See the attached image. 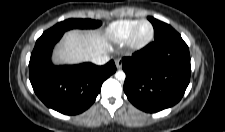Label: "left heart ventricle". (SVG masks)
<instances>
[{"instance_id":"1","label":"left heart ventricle","mask_w":225,"mask_h":132,"mask_svg":"<svg viewBox=\"0 0 225 132\" xmlns=\"http://www.w3.org/2000/svg\"><path fill=\"white\" fill-rule=\"evenodd\" d=\"M150 32V27L148 24H143L141 25V27L139 28V31H138V37L139 38H144L146 37Z\"/></svg>"}]
</instances>
